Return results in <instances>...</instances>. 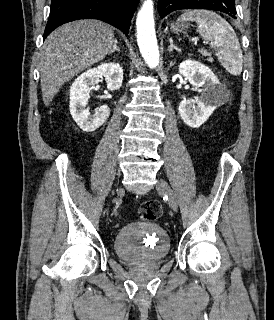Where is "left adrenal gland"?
<instances>
[{
  "mask_svg": "<svg viewBox=\"0 0 274 320\" xmlns=\"http://www.w3.org/2000/svg\"><path fill=\"white\" fill-rule=\"evenodd\" d=\"M173 50H176V52H181L180 48H177V46H174L172 38H170V46H168V52H173Z\"/></svg>",
  "mask_w": 274,
  "mask_h": 320,
  "instance_id": "left-adrenal-gland-1",
  "label": "left adrenal gland"
}]
</instances>
